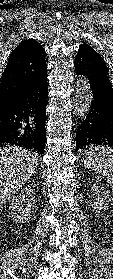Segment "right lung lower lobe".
Segmentation results:
<instances>
[{
    "label": "right lung lower lobe",
    "instance_id": "1",
    "mask_svg": "<svg viewBox=\"0 0 113 279\" xmlns=\"http://www.w3.org/2000/svg\"><path fill=\"white\" fill-rule=\"evenodd\" d=\"M47 101L46 69L0 113V145H19L43 154Z\"/></svg>",
    "mask_w": 113,
    "mask_h": 279
}]
</instances>
